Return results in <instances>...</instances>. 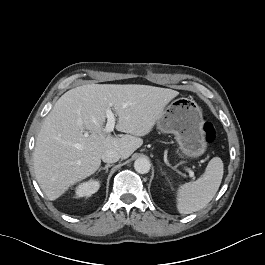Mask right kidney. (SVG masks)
<instances>
[{"mask_svg":"<svg viewBox=\"0 0 265 265\" xmlns=\"http://www.w3.org/2000/svg\"><path fill=\"white\" fill-rule=\"evenodd\" d=\"M99 187L100 182L97 180L91 179L87 182H83L76 187V197H89L95 192H97Z\"/></svg>","mask_w":265,"mask_h":265,"instance_id":"1","label":"right kidney"}]
</instances>
